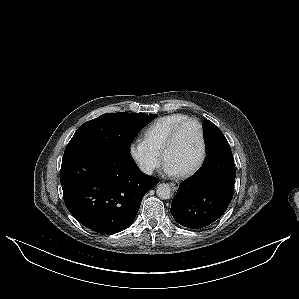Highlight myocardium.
I'll use <instances>...</instances> for the list:
<instances>
[{
  "label": "myocardium",
  "mask_w": 299,
  "mask_h": 299,
  "mask_svg": "<svg viewBox=\"0 0 299 299\" xmlns=\"http://www.w3.org/2000/svg\"><path fill=\"white\" fill-rule=\"evenodd\" d=\"M191 125L195 126L199 133V153H198V157H197L196 161L194 162V164L192 166H190L189 168H187L183 171H179V175L182 177L188 176V175L194 173L196 170H198V168L202 165L203 160L205 158V153H206L205 134H204V130H203L201 123L196 119H189L186 122H184L183 124H181L180 126H178L170 135V137L165 145V148L163 150V153H162L163 162L165 164H168L169 154L175 144L178 134L183 129H185L186 127L191 126Z\"/></svg>",
  "instance_id": "obj_1"
}]
</instances>
